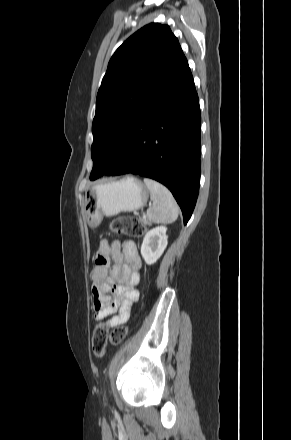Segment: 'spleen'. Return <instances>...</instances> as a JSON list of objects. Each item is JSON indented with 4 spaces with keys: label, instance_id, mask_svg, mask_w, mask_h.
Wrapping results in <instances>:
<instances>
[{
    "label": "spleen",
    "instance_id": "spleen-1",
    "mask_svg": "<svg viewBox=\"0 0 291 440\" xmlns=\"http://www.w3.org/2000/svg\"><path fill=\"white\" fill-rule=\"evenodd\" d=\"M150 191L153 206L147 210V218L155 223H171L178 218L179 208L172 193L162 184L144 178Z\"/></svg>",
    "mask_w": 291,
    "mask_h": 440
}]
</instances>
